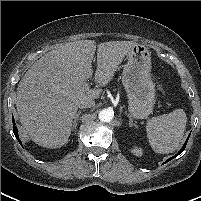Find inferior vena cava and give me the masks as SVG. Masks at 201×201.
Listing matches in <instances>:
<instances>
[{"mask_svg":"<svg viewBox=\"0 0 201 201\" xmlns=\"http://www.w3.org/2000/svg\"><path fill=\"white\" fill-rule=\"evenodd\" d=\"M94 105H95L94 99L88 97L82 98L78 103V107L81 109L92 108L94 107Z\"/></svg>","mask_w":201,"mask_h":201,"instance_id":"inferior-vena-cava-1","label":"inferior vena cava"}]
</instances>
